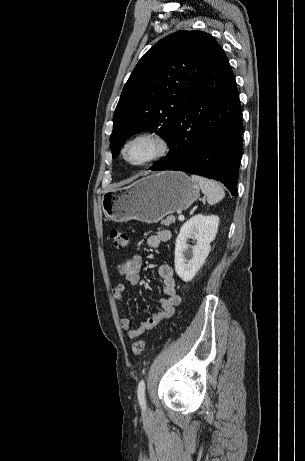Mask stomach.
Here are the masks:
<instances>
[{
    "instance_id": "1",
    "label": "stomach",
    "mask_w": 305,
    "mask_h": 461,
    "mask_svg": "<svg viewBox=\"0 0 305 461\" xmlns=\"http://www.w3.org/2000/svg\"><path fill=\"white\" fill-rule=\"evenodd\" d=\"M199 194L198 184L185 173L162 171L104 193L101 206L105 216L115 222L135 219L155 223L168 214L186 210Z\"/></svg>"
}]
</instances>
